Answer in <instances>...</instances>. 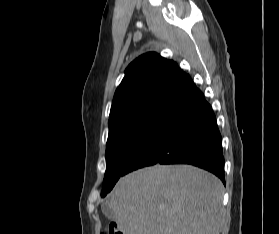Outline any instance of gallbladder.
I'll use <instances>...</instances> for the list:
<instances>
[{
	"instance_id": "1",
	"label": "gallbladder",
	"mask_w": 279,
	"mask_h": 234,
	"mask_svg": "<svg viewBox=\"0 0 279 234\" xmlns=\"http://www.w3.org/2000/svg\"><path fill=\"white\" fill-rule=\"evenodd\" d=\"M102 211L107 218L111 220L115 219V213L109 209L106 204L103 206Z\"/></svg>"
}]
</instances>
